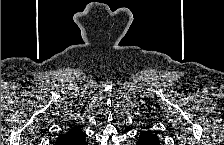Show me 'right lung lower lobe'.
Segmentation results:
<instances>
[{
    "label": "right lung lower lobe",
    "instance_id": "98d812e1",
    "mask_svg": "<svg viewBox=\"0 0 224 145\" xmlns=\"http://www.w3.org/2000/svg\"><path fill=\"white\" fill-rule=\"evenodd\" d=\"M76 144H77V145H83V144H85V138L81 139V140L78 141Z\"/></svg>",
    "mask_w": 224,
    "mask_h": 145
}]
</instances>
